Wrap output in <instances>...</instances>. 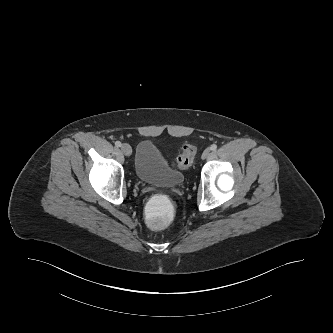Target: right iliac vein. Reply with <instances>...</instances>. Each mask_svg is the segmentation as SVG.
<instances>
[{
  "instance_id": "obj_1",
  "label": "right iliac vein",
  "mask_w": 333,
  "mask_h": 333,
  "mask_svg": "<svg viewBox=\"0 0 333 333\" xmlns=\"http://www.w3.org/2000/svg\"><path fill=\"white\" fill-rule=\"evenodd\" d=\"M121 151H122L123 154L126 155V156H130L131 153H132V149H131L130 145H128V144H123V145L121 146Z\"/></svg>"
}]
</instances>
